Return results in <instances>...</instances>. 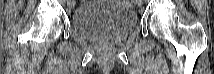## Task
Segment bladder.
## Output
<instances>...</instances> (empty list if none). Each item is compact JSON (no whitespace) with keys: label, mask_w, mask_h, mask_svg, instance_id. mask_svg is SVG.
<instances>
[{"label":"bladder","mask_w":214,"mask_h":74,"mask_svg":"<svg viewBox=\"0 0 214 74\" xmlns=\"http://www.w3.org/2000/svg\"><path fill=\"white\" fill-rule=\"evenodd\" d=\"M137 16L133 9L119 1L85 2L71 16V28L80 36L118 41L132 32Z\"/></svg>","instance_id":"1"}]
</instances>
